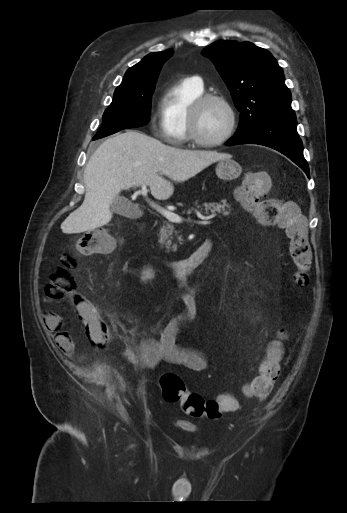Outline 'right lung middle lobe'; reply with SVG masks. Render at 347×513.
Returning a JSON list of instances; mask_svg holds the SVG:
<instances>
[{
  "label": "right lung middle lobe",
  "mask_w": 347,
  "mask_h": 513,
  "mask_svg": "<svg viewBox=\"0 0 347 513\" xmlns=\"http://www.w3.org/2000/svg\"><path fill=\"white\" fill-rule=\"evenodd\" d=\"M155 83L136 88H117L112 103L103 114V123L93 140L123 129L147 124L150 120Z\"/></svg>",
  "instance_id": "1"
}]
</instances>
